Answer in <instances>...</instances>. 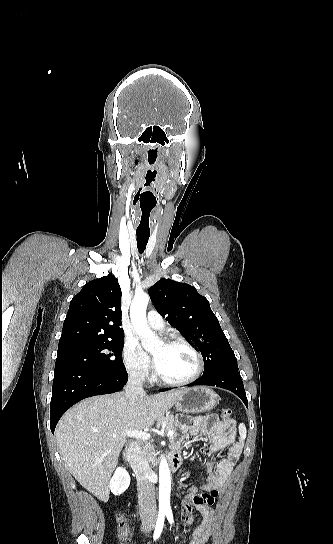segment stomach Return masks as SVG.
Returning a JSON list of instances; mask_svg holds the SVG:
<instances>
[{
	"label": "stomach",
	"instance_id": "obj_1",
	"mask_svg": "<svg viewBox=\"0 0 333 544\" xmlns=\"http://www.w3.org/2000/svg\"><path fill=\"white\" fill-rule=\"evenodd\" d=\"M218 403L217 394L206 387H194L184 390L175 402L176 409L195 414L211 411Z\"/></svg>",
	"mask_w": 333,
	"mask_h": 544
}]
</instances>
